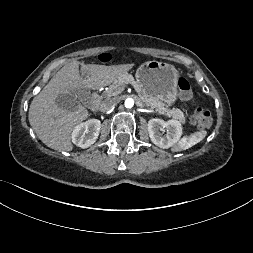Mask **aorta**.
I'll list each match as a JSON object with an SVG mask.
<instances>
[{
	"instance_id": "1",
	"label": "aorta",
	"mask_w": 253,
	"mask_h": 253,
	"mask_svg": "<svg viewBox=\"0 0 253 253\" xmlns=\"http://www.w3.org/2000/svg\"><path fill=\"white\" fill-rule=\"evenodd\" d=\"M134 105V100L132 98H127L125 100V107L126 108H132Z\"/></svg>"
}]
</instances>
